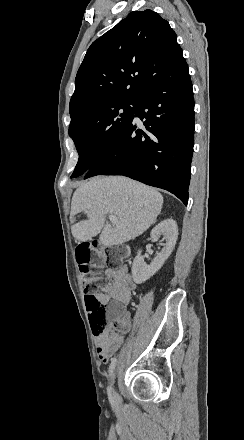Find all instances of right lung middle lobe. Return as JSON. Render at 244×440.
<instances>
[{
	"instance_id": "obj_1",
	"label": "right lung middle lobe",
	"mask_w": 244,
	"mask_h": 440,
	"mask_svg": "<svg viewBox=\"0 0 244 440\" xmlns=\"http://www.w3.org/2000/svg\"><path fill=\"white\" fill-rule=\"evenodd\" d=\"M138 101L137 98H108L69 111V135L79 154L71 178L86 173L124 131Z\"/></svg>"
}]
</instances>
